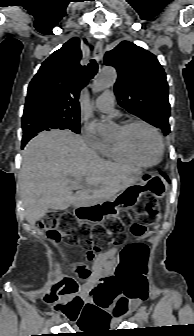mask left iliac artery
Instances as JSON below:
<instances>
[{
  "instance_id": "left-iliac-artery-1",
  "label": "left iliac artery",
  "mask_w": 194,
  "mask_h": 336,
  "mask_svg": "<svg viewBox=\"0 0 194 336\" xmlns=\"http://www.w3.org/2000/svg\"><path fill=\"white\" fill-rule=\"evenodd\" d=\"M140 312H141V314L143 315L144 320L147 321V320H148V313L146 312L145 307H141V308H140Z\"/></svg>"
}]
</instances>
